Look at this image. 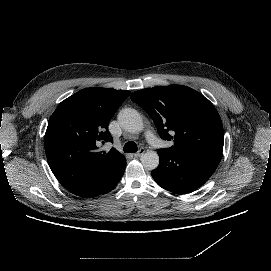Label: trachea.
Wrapping results in <instances>:
<instances>
[{"instance_id":"1","label":"trachea","mask_w":271,"mask_h":271,"mask_svg":"<svg viewBox=\"0 0 271 271\" xmlns=\"http://www.w3.org/2000/svg\"><path fill=\"white\" fill-rule=\"evenodd\" d=\"M138 147L135 142L129 141L124 145V152H137Z\"/></svg>"}]
</instances>
